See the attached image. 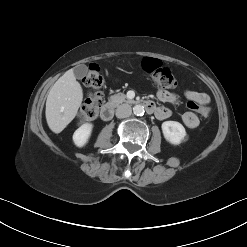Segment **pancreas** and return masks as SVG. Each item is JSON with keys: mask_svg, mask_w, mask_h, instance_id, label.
<instances>
[{"mask_svg": "<svg viewBox=\"0 0 247 247\" xmlns=\"http://www.w3.org/2000/svg\"><path fill=\"white\" fill-rule=\"evenodd\" d=\"M110 102L114 105V106H117L123 102H127V103H132L133 101L132 100H126V95L123 94V93H118V94H115V95H112L110 97Z\"/></svg>", "mask_w": 247, "mask_h": 247, "instance_id": "pancreas-1", "label": "pancreas"}]
</instances>
